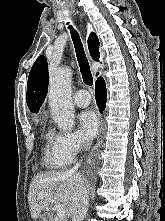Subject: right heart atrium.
Here are the masks:
<instances>
[{
    "label": "right heart atrium",
    "mask_w": 165,
    "mask_h": 221,
    "mask_svg": "<svg viewBox=\"0 0 165 221\" xmlns=\"http://www.w3.org/2000/svg\"><path fill=\"white\" fill-rule=\"evenodd\" d=\"M87 146L88 142L78 132H60L54 136L56 153L69 161H73Z\"/></svg>",
    "instance_id": "1"
}]
</instances>
